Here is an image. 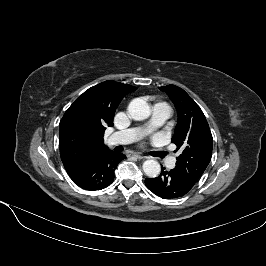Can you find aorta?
<instances>
[{"instance_id":"1","label":"aorta","mask_w":266,"mask_h":266,"mask_svg":"<svg viewBox=\"0 0 266 266\" xmlns=\"http://www.w3.org/2000/svg\"><path fill=\"white\" fill-rule=\"evenodd\" d=\"M151 114L149 105L142 99H133L128 106V115L136 121L147 119ZM144 173L151 178L160 174L161 166L155 160H146L143 163Z\"/></svg>"}]
</instances>
